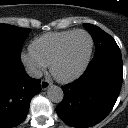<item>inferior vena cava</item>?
Instances as JSON below:
<instances>
[{"label":"inferior vena cava","mask_w":128,"mask_h":128,"mask_svg":"<svg viewBox=\"0 0 128 128\" xmlns=\"http://www.w3.org/2000/svg\"><path fill=\"white\" fill-rule=\"evenodd\" d=\"M26 70V73L32 77V78H36V79H39L43 76V73L41 70L37 69L36 67L34 66H27L25 68Z\"/></svg>","instance_id":"inferior-vena-cava-1"}]
</instances>
